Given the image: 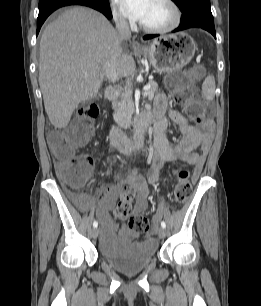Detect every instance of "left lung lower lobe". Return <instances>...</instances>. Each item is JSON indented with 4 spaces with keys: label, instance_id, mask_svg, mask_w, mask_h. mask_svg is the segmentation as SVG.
I'll list each match as a JSON object with an SVG mask.
<instances>
[{
    "label": "left lung lower lobe",
    "instance_id": "left-lung-lower-lobe-1",
    "mask_svg": "<svg viewBox=\"0 0 261 306\" xmlns=\"http://www.w3.org/2000/svg\"><path fill=\"white\" fill-rule=\"evenodd\" d=\"M188 28H202L210 32L216 38L214 19L211 10L204 8H192L182 12L181 22L173 32L182 31ZM158 35H146L145 40L152 39Z\"/></svg>",
    "mask_w": 261,
    "mask_h": 306
}]
</instances>
